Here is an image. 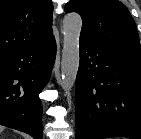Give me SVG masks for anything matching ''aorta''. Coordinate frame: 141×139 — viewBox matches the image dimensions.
<instances>
[{
  "label": "aorta",
  "mask_w": 141,
  "mask_h": 139,
  "mask_svg": "<svg viewBox=\"0 0 141 139\" xmlns=\"http://www.w3.org/2000/svg\"><path fill=\"white\" fill-rule=\"evenodd\" d=\"M82 28L81 16L77 13H69L63 20V50L61 61L62 88L69 93L76 80L80 50L79 40Z\"/></svg>",
  "instance_id": "obj_1"
}]
</instances>
